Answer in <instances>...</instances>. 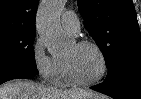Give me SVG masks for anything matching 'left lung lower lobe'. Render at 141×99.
Wrapping results in <instances>:
<instances>
[{
  "instance_id": "obj_1",
  "label": "left lung lower lobe",
  "mask_w": 141,
  "mask_h": 99,
  "mask_svg": "<svg viewBox=\"0 0 141 99\" xmlns=\"http://www.w3.org/2000/svg\"><path fill=\"white\" fill-rule=\"evenodd\" d=\"M114 99H141V70H128L92 86Z\"/></svg>"
}]
</instances>
